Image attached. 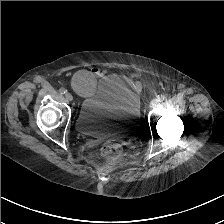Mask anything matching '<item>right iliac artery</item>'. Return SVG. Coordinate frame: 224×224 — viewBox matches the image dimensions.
Returning <instances> with one entry per match:
<instances>
[{"label": "right iliac artery", "mask_w": 224, "mask_h": 224, "mask_svg": "<svg viewBox=\"0 0 224 224\" xmlns=\"http://www.w3.org/2000/svg\"><path fill=\"white\" fill-rule=\"evenodd\" d=\"M59 92H60L61 94H65V93L67 92V90H66L65 88H60V89H59Z\"/></svg>", "instance_id": "1"}]
</instances>
